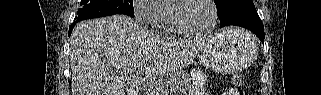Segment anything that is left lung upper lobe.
<instances>
[{"label":"left lung upper lobe","instance_id":"1","mask_svg":"<svg viewBox=\"0 0 321 95\" xmlns=\"http://www.w3.org/2000/svg\"><path fill=\"white\" fill-rule=\"evenodd\" d=\"M239 1L241 0H214L217 7L218 17H220L229 7Z\"/></svg>","mask_w":321,"mask_h":95}]
</instances>
